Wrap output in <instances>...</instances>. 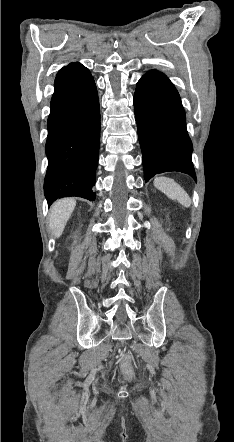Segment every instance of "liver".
Returning a JSON list of instances; mask_svg holds the SVG:
<instances>
[{
    "instance_id": "1",
    "label": "liver",
    "mask_w": 234,
    "mask_h": 442,
    "mask_svg": "<svg viewBox=\"0 0 234 442\" xmlns=\"http://www.w3.org/2000/svg\"><path fill=\"white\" fill-rule=\"evenodd\" d=\"M75 206L76 201L73 198H64L52 205L50 209L49 227L56 238L62 234Z\"/></svg>"
}]
</instances>
